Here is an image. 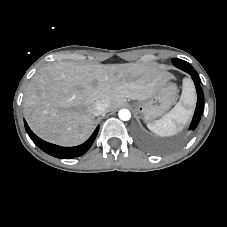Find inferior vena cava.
<instances>
[{
  "label": "inferior vena cava",
  "mask_w": 227,
  "mask_h": 227,
  "mask_svg": "<svg viewBox=\"0 0 227 227\" xmlns=\"http://www.w3.org/2000/svg\"><path fill=\"white\" fill-rule=\"evenodd\" d=\"M110 103L107 99L97 100L94 104L93 114L95 116L102 115L109 111Z\"/></svg>",
  "instance_id": "inferior-vena-cava-1"
}]
</instances>
